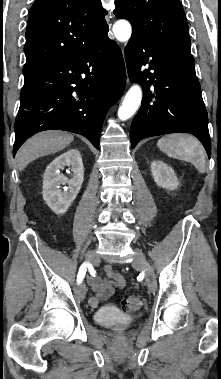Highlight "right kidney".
<instances>
[{
  "label": "right kidney",
  "instance_id": "ca27d5eb",
  "mask_svg": "<svg viewBox=\"0 0 221 379\" xmlns=\"http://www.w3.org/2000/svg\"><path fill=\"white\" fill-rule=\"evenodd\" d=\"M71 168L68 179L61 170ZM84 180V169L81 154L76 149L56 157L46 168L43 176V199L56 214H64L77 197ZM60 185H67L64 190Z\"/></svg>",
  "mask_w": 221,
  "mask_h": 379
}]
</instances>
